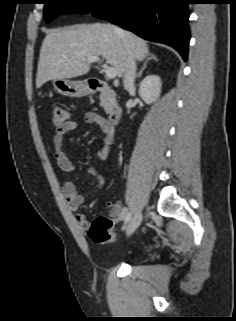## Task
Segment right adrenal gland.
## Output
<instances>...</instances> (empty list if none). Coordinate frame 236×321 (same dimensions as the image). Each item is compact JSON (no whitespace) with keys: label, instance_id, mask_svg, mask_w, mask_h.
<instances>
[{"label":"right adrenal gland","instance_id":"2a0ac1e0","mask_svg":"<svg viewBox=\"0 0 236 321\" xmlns=\"http://www.w3.org/2000/svg\"><path fill=\"white\" fill-rule=\"evenodd\" d=\"M150 60L158 61V59L155 55L150 54L149 57L147 58V60L143 63L141 70L138 72L137 77H136L137 79L142 76V72L146 69L147 64Z\"/></svg>","mask_w":236,"mask_h":321}]
</instances>
